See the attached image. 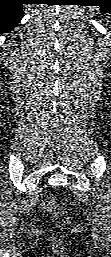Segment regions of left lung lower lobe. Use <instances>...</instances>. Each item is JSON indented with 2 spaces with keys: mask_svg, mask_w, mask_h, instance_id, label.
Listing matches in <instances>:
<instances>
[{
  "mask_svg": "<svg viewBox=\"0 0 111 257\" xmlns=\"http://www.w3.org/2000/svg\"><path fill=\"white\" fill-rule=\"evenodd\" d=\"M100 7H101V11L103 12H109L110 8H111V0H100Z\"/></svg>",
  "mask_w": 111,
  "mask_h": 257,
  "instance_id": "obj_1",
  "label": "left lung lower lobe"
}]
</instances>
